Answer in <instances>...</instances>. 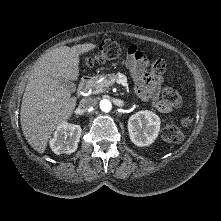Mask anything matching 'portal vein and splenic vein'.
<instances>
[{
  "label": "portal vein and splenic vein",
  "instance_id": "1",
  "mask_svg": "<svg viewBox=\"0 0 221 221\" xmlns=\"http://www.w3.org/2000/svg\"><path fill=\"white\" fill-rule=\"evenodd\" d=\"M122 85L126 86V82L125 81H121L120 82Z\"/></svg>",
  "mask_w": 221,
  "mask_h": 221
}]
</instances>
